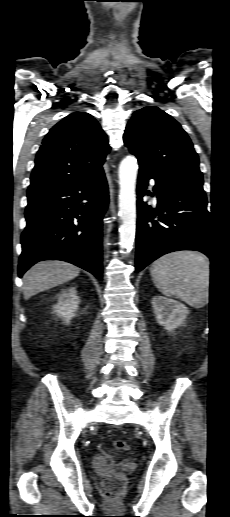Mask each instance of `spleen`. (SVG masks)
<instances>
[{
	"mask_svg": "<svg viewBox=\"0 0 230 517\" xmlns=\"http://www.w3.org/2000/svg\"><path fill=\"white\" fill-rule=\"evenodd\" d=\"M150 273L157 289L200 308L209 301V262L193 251H179L156 260Z\"/></svg>",
	"mask_w": 230,
	"mask_h": 517,
	"instance_id": "1",
	"label": "spleen"
}]
</instances>
